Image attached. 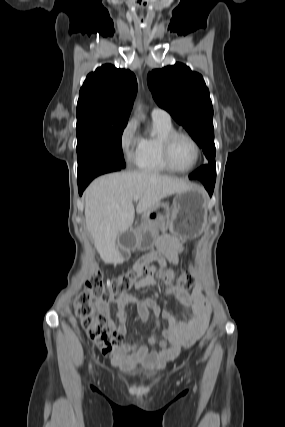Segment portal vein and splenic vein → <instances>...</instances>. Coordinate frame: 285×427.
Here are the masks:
<instances>
[{"mask_svg":"<svg viewBox=\"0 0 285 427\" xmlns=\"http://www.w3.org/2000/svg\"><path fill=\"white\" fill-rule=\"evenodd\" d=\"M139 199H140L139 196H134V198H133L134 202H137Z\"/></svg>","mask_w":285,"mask_h":427,"instance_id":"18ae733b","label":"portal vein and splenic vein"}]
</instances>
